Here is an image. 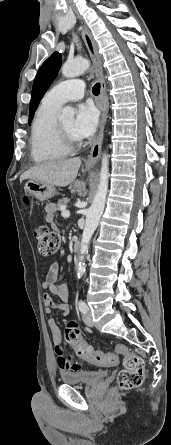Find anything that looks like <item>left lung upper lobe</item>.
Here are the masks:
<instances>
[{"label":"left lung upper lobe","mask_w":171,"mask_h":445,"mask_svg":"<svg viewBox=\"0 0 171 445\" xmlns=\"http://www.w3.org/2000/svg\"><path fill=\"white\" fill-rule=\"evenodd\" d=\"M61 54L54 52L40 67L38 73L36 74L31 101L29 106V124L31 123L35 110L37 109L40 100L49 88L50 84L56 78L59 68L61 66Z\"/></svg>","instance_id":"1"}]
</instances>
